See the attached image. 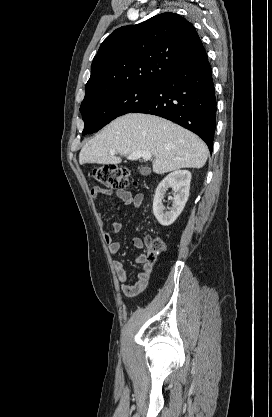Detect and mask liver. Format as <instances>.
<instances>
[{
  "instance_id": "6515ba94",
  "label": "liver",
  "mask_w": 272,
  "mask_h": 417,
  "mask_svg": "<svg viewBox=\"0 0 272 417\" xmlns=\"http://www.w3.org/2000/svg\"><path fill=\"white\" fill-rule=\"evenodd\" d=\"M148 151L153 172L164 174L181 168H202L208 158L205 143L192 132L158 116L130 113L109 123L81 149L79 163H121L119 156Z\"/></svg>"
}]
</instances>
